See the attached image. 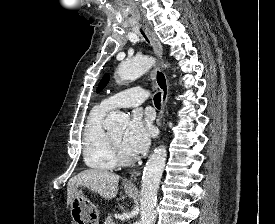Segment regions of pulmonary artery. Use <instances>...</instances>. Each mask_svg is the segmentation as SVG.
Returning <instances> with one entry per match:
<instances>
[{
  "mask_svg": "<svg viewBox=\"0 0 275 224\" xmlns=\"http://www.w3.org/2000/svg\"><path fill=\"white\" fill-rule=\"evenodd\" d=\"M148 97V93L141 87H133L110 96L101 102V107L110 111L116 107H138L141 106Z\"/></svg>",
  "mask_w": 275,
  "mask_h": 224,
  "instance_id": "pulmonary-artery-1",
  "label": "pulmonary artery"
}]
</instances>
